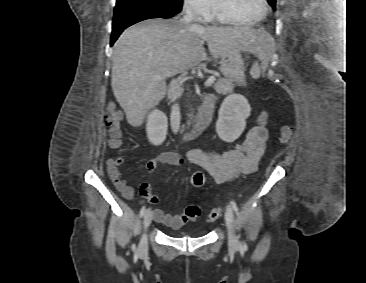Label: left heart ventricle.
<instances>
[{
    "mask_svg": "<svg viewBox=\"0 0 366 283\" xmlns=\"http://www.w3.org/2000/svg\"><path fill=\"white\" fill-rule=\"evenodd\" d=\"M229 11L238 19L250 22L263 13L262 0H223Z\"/></svg>",
    "mask_w": 366,
    "mask_h": 283,
    "instance_id": "1",
    "label": "left heart ventricle"
}]
</instances>
